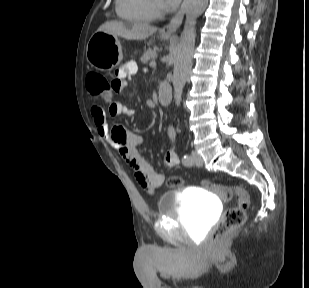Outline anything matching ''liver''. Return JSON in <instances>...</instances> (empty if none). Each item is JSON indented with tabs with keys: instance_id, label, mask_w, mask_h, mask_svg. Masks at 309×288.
Instances as JSON below:
<instances>
[{
	"instance_id": "obj_1",
	"label": "liver",
	"mask_w": 309,
	"mask_h": 288,
	"mask_svg": "<svg viewBox=\"0 0 309 288\" xmlns=\"http://www.w3.org/2000/svg\"><path fill=\"white\" fill-rule=\"evenodd\" d=\"M98 31L108 32L127 40H145L157 31L156 27L145 23L126 24L122 21H107L101 25Z\"/></svg>"
}]
</instances>
